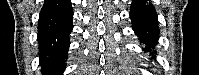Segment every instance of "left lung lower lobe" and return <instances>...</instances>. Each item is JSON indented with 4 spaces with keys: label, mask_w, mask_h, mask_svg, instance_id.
<instances>
[{
    "label": "left lung lower lobe",
    "mask_w": 199,
    "mask_h": 75,
    "mask_svg": "<svg viewBox=\"0 0 199 75\" xmlns=\"http://www.w3.org/2000/svg\"><path fill=\"white\" fill-rule=\"evenodd\" d=\"M132 28L139 37L140 42L145 43V51H151L158 43V21L154 6L146 0H133L130 8ZM156 52L152 53V58Z\"/></svg>",
    "instance_id": "1"
}]
</instances>
